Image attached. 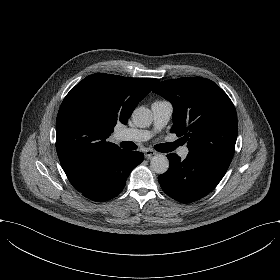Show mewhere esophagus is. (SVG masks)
Listing matches in <instances>:
<instances>
[{
	"label": "esophagus",
	"mask_w": 280,
	"mask_h": 280,
	"mask_svg": "<svg viewBox=\"0 0 280 280\" xmlns=\"http://www.w3.org/2000/svg\"><path fill=\"white\" fill-rule=\"evenodd\" d=\"M155 154H157V153L153 149H145L144 150V155H145L146 158H150V157H152Z\"/></svg>",
	"instance_id": "34e87169"
}]
</instances>
